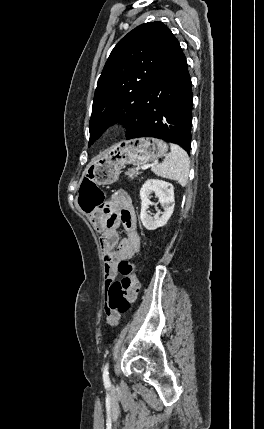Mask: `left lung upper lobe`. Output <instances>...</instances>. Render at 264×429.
<instances>
[{
    "label": "left lung upper lobe",
    "mask_w": 264,
    "mask_h": 429,
    "mask_svg": "<svg viewBox=\"0 0 264 429\" xmlns=\"http://www.w3.org/2000/svg\"><path fill=\"white\" fill-rule=\"evenodd\" d=\"M172 35L162 22H148L130 31L114 47L95 90L89 145L119 120L126 123L127 135L131 132Z\"/></svg>",
    "instance_id": "obj_1"
}]
</instances>
